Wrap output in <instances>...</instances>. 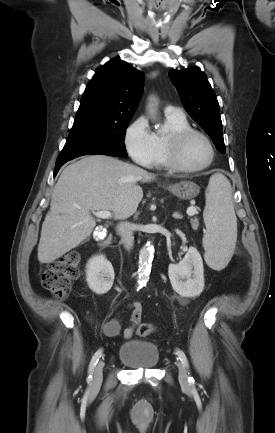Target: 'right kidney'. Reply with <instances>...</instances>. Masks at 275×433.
Segmentation results:
<instances>
[{"instance_id": "ca27d5eb", "label": "right kidney", "mask_w": 275, "mask_h": 433, "mask_svg": "<svg viewBox=\"0 0 275 433\" xmlns=\"http://www.w3.org/2000/svg\"><path fill=\"white\" fill-rule=\"evenodd\" d=\"M114 269L104 255L93 256L86 266V281L98 295L107 293L114 281Z\"/></svg>"}]
</instances>
